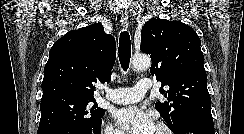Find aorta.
Here are the masks:
<instances>
[{
	"label": "aorta",
	"mask_w": 244,
	"mask_h": 134,
	"mask_svg": "<svg viewBox=\"0 0 244 134\" xmlns=\"http://www.w3.org/2000/svg\"><path fill=\"white\" fill-rule=\"evenodd\" d=\"M132 66L137 71L147 70L151 66V59L147 55H136L132 59Z\"/></svg>",
	"instance_id": "obj_1"
}]
</instances>
